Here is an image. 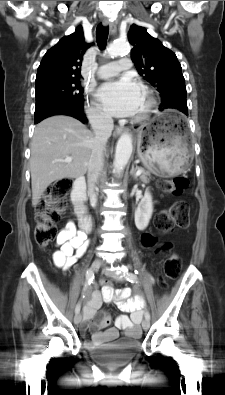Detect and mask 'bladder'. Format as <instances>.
I'll use <instances>...</instances> for the list:
<instances>
[{"label":"bladder","instance_id":"31cf9c89","mask_svg":"<svg viewBox=\"0 0 225 395\" xmlns=\"http://www.w3.org/2000/svg\"><path fill=\"white\" fill-rule=\"evenodd\" d=\"M140 346L139 340L119 339L106 347L93 348L92 352L99 361L109 363L130 357Z\"/></svg>","mask_w":225,"mask_h":395}]
</instances>
